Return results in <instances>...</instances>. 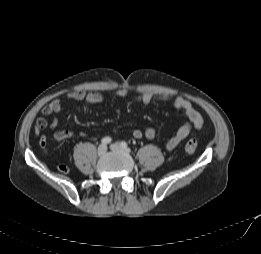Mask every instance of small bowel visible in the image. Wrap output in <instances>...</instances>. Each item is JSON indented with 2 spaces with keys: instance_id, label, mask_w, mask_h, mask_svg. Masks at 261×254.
I'll use <instances>...</instances> for the list:
<instances>
[{
  "instance_id": "c3829d8e",
  "label": "small bowel",
  "mask_w": 261,
  "mask_h": 254,
  "mask_svg": "<svg viewBox=\"0 0 261 254\" xmlns=\"http://www.w3.org/2000/svg\"><path fill=\"white\" fill-rule=\"evenodd\" d=\"M116 95L120 98H125L128 96V91L125 89H120L116 91ZM63 99L74 100V101H84L89 104H100L103 102L104 98L99 93H87L82 90H75L64 94L61 97L54 98L42 109V115L37 119L34 133L40 139V145L45 152H47V139L42 131L49 126L51 130H54L53 138L58 141L67 140L73 137V132L70 130H56L58 125L57 115L60 114L63 110L62 101ZM138 99L143 104H150L156 99L168 102L177 109L183 110L187 117V121L181 125L175 135L171 137L167 143V150H174L179 146V144L188 137L193 129H200L203 126V117L201 114L194 108L192 103L184 98L172 96V95H158L156 93L146 91L141 93L138 96ZM46 117H51L50 122L48 123ZM133 136L136 139H140L143 136L147 139H153L156 135L154 128L149 127L145 131L136 129L133 131ZM84 136V134H81Z\"/></svg>"
}]
</instances>
